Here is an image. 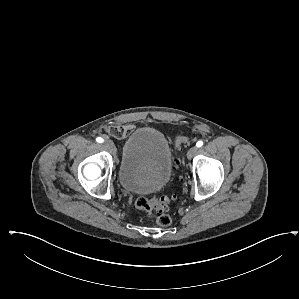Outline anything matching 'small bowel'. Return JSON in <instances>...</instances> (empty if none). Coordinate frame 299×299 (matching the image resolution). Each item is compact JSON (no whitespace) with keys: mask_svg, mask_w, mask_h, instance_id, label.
Wrapping results in <instances>:
<instances>
[{"mask_svg":"<svg viewBox=\"0 0 299 299\" xmlns=\"http://www.w3.org/2000/svg\"><path fill=\"white\" fill-rule=\"evenodd\" d=\"M134 130V125L131 123L110 126L108 131L116 138H124L130 135Z\"/></svg>","mask_w":299,"mask_h":299,"instance_id":"c3829d8e","label":"small bowel"}]
</instances>
